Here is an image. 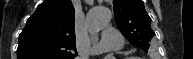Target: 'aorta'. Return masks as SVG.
I'll list each match as a JSON object with an SVG mask.
<instances>
[{
    "label": "aorta",
    "instance_id": "obj_1",
    "mask_svg": "<svg viewBox=\"0 0 193 59\" xmlns=\"http://www.w3.org/2000/svg\"><path fill=\"white\" fill-rule=\"evenodd\" d=\"M112 12L107 7H95L92 8L86 18L87 28L90 33L94 34L104 28L111 20ZM107 59H112L111 55L107 56Z\"/></svg>",
    "mask_w": 193,
    "mask_h": 59
}]
</instances>
